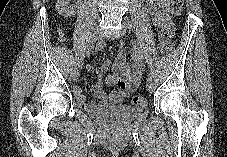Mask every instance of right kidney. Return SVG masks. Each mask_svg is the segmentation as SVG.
<instances>
[{"label": "right kidney", "instance_id": "obj_1", "mask_svg": "<svg viewBox=\"0 0 227 157\" xmlns=\"http://www.w3.org/2000/svg\"><path fill=\"white\" fill-rule=\"evenodd\" d=\"M58 2L61 3V5L58 7V11L62 12L64 15L74 16L76 14V11L73 7H68V1L59 0Z\"/></svg>", "mask_w": 227, "mask_h": 157}]
</instances>
